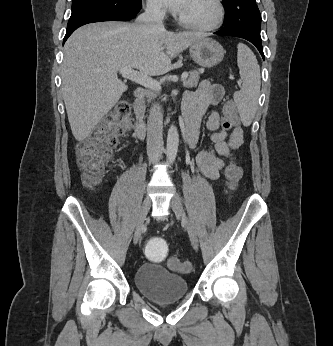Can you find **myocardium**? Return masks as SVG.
Here are the masks:
<instances>
[{
	"mask_svg": "<svg viewBox=\"0 0 333 346\" xmlns=\"http://www.w3.org/2000/svg\"><path fill=\"white\" fill-rule=\"evenodd\" d=\"M212 3L215 7L216 13H215L214 19L211 22L206 24H200V23L190 21L179 15L178 16L179 23L186 28H190V29L202 31V32H209V31L218 29L222 25L225 19V7L223 5L222 0H212Z\"/></svg>",
	"mask_w": 333,
	"mask_h": 346,
	"instance_id": "1",
	"label": "myocardium"
}]
</instances>
